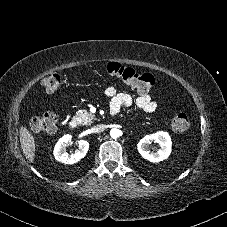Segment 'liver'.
Instances as JSON below:
<instances>
[{"instance_id":"liver-1","label":"liver","mask_w":227,"mask_h":227,"mask_svg":"<svg viewBox=\"0 0 227 227\" xmlns=\"http://www.w3.org/2000/svg\"><path fill=\"white\" fill-rule=\"evenodd\" d=\"M20 144L22 151L29 162H34L35 157V140L33 135L25 126L20 127Z\"/></svg>"}]
</instances>
